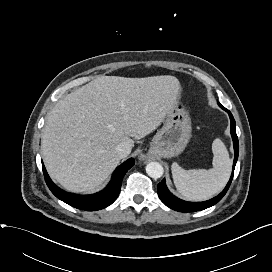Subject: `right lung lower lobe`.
I'll return each mask as SVG.
<instances>
[{
  "mask_svg": "<svg viewBox=\"0 0 272 272\" xmlns=\"http://www.w3.org/2000/svg\"><path fill=\"white\" fill-rule=\"evenodd\" d=\"M134 159L130 158L118 166L114 171L111 181L106 188L92 195H77L63 191L50 179L42 163L45 181L51 192L63 202L86 211L103 209L112 204L120 193L121 183L126 172L134 165Z\"/></svg>",
  "mask_w": 272,
  "mask_h": 272,
  "instance_id": "right-lung-lower-lobe-1",
  "label": "right lung lower lobe"
}]
</instances>
